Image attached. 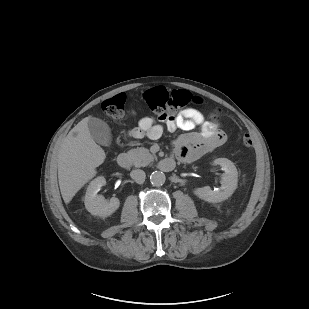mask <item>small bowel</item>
Returning a JSON list of instances; mask_svg holds the SVG:
<instances>
[{
  "instance_id": "c3829d8e",
  "label": "small bowel",
  "mask_w": 309,
  "mask_h": 309,
  "mask_svg": "<svg viewBox=\"0 0 309 309\" xmlns=\"http://www.w3.org/2000/svg\"><path fill=\"white\" fill-rule=\"evenodd\" d=\"M168 131L181 129L184 131L174 142V156L183 162H192L217 148L225 142V135L219 125L205 120L202 113L196 109H185L176 116H170L164 121ZM198 128V131L195 129ZM163 133L162 125L152 117H144L131 132L134 137L158 139Z\"/></svg>"
}]
</instances>
